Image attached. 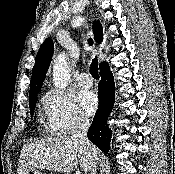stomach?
I'll return each mask as SVG.
<instances>
[{
	"label": "stomach",
	"mask_w": 175,
	"mask_h": 174,
	"mask_svg": "<svg viewBox=\"0 0 175 174\" xmlns=\"http://www.w3.org/2000/svg\"><path fill=\"white\" fill-rule=\"evenodd\" d=\"M25 174H42L38 169L28 170Z\"/></svg>",
	"instance_id": "0dacf381"
}]
</instances>
